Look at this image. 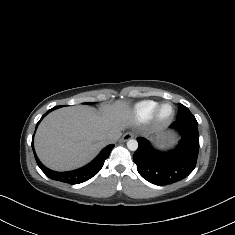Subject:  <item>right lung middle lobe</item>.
<instances>
[{
    "instance_id": "right-lung-middle-lobe-1",
    "label": "right lung middle lobe",
    "mask_w": 235,
    "mask_h": 235,
    "mask_svg": "<svg viewBox=\"0 0 235 235\" xmlns=\"http://www.w3.org/2000/svg\"><path fill=\"white\" fill-rule=\"evenodd\" d=\"M59 107H61V106H56V107H54L53 109H57V108H59Z\"/></svg>"
}]
</instances>
